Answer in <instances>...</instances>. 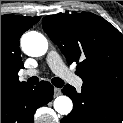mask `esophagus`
Segmentation results:
<instances>
[{
    "mask_svg": "<svg viewBox=\"0 0 123 123\" xmlns=\"http://www.w3.org/2000/svg\"><path fill=\"white\" fill-rule=\"evenodd\" d=\"M61 95V90L57 87L54 88V97Z\"/></svg>",
    "mask_w": 123,
    "mask_h": 123,
    "instance_id": "obj_1",
    "label": "esophagus"
}]
</instances>
